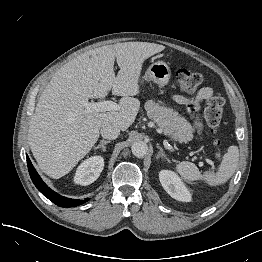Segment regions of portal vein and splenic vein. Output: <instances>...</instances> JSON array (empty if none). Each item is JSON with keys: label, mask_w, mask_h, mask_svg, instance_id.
I'll list each match as a JSON object with an SVG mask.
<instances>
[{"label": "portal vein and splenic vein", "mask_w": 262, "mask_h": 262, "mask_svg": "<svg viewBox=\"0 0 262 262\" xmlns=\"http://www.w3.org/2000/svg\"><path fill=\"white\" fill-rule=\"evenodd\" d=\"M82 105L85 107L86 112L118 111L120 109L119 105L113 101H102V102H95V103L83 101Z\"/></svg>", "instance_id": "1"}]
</instances>
